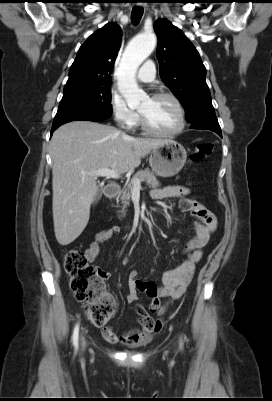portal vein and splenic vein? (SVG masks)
<instances>
[{"label": "portal vein and splenic vein", "mask_w": 272, "mask_h": 401, "mask_svg": "<svg viewBox=\"0 0 272 401\" xmlns=\"http://www.w3.org/2000/svg\"><path fill=\"white\" fill-rule=\"evenodd\" d=\"M93 175L95 177H107V178H112V179H118L120 178V174L114 170H111L109 168H102L96 171H92V172H82V175ZM134 188H141V182L140 180H135L134 181Z\"/></svg>", "instance_id": "obj_1"}]
</instances>
